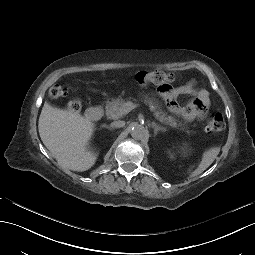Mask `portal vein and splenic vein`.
<instances>
[{"label":"portal vein and splenic vein","mask_w":255,"mask_h":255,"mask_svg":"<svg viewBox=\"0 0 255 255\" xmlns=\"http://www.w3.org/2000/svg\"><path fill=\"white\" fill-rule=\"evenodd\" d=\"M135 107H137V104H134L130 100H127L123 105V112L125 114H128L129 112H132V109H134Z\"/></svg>","instance_id":"obj_1"}]
</instances>
